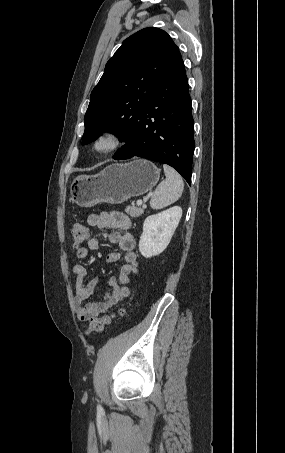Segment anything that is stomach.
<instances>
[{"label": "stomach", "instance_id": "obj_1", "mask_svg": "<svg viewBox=\"0 0 285 453\" xmlns=\"http://www.w3.org/2000/svg\"><path fill=\"white\" fill-rule=\"evenodd\" d=\"M160 169L152 162L137 159L107 166L96 175H79L71 184L73 201L82 207L98 203L122 204L131 197L149 192L159 181Z\"/></svg>", "mask_w": 285, "mask_h": 453}]
</instances>
